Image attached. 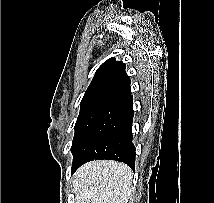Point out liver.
Returning <instances> with one entry per match:
<instances>
[{
	"instance_id": "liver-1",
	"label": "liver",
	"mask_w": 214,
	"mask_h": 203,
	"mask_svg": "<svg viewBox=\"0 0 214 203\" xmlns=\"http://www.w3.org/2000/svg\"><path fill=\"white\" fill-rule=\"evenodd\" d=\"M132 170L111 160L92 161L74 176L76 203H127L132 189Z\"/></svg>"
}]
</instances>
